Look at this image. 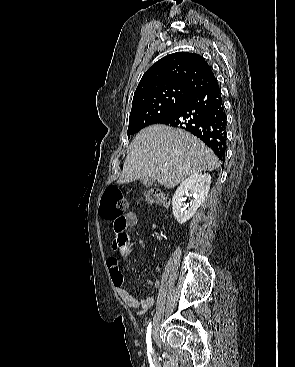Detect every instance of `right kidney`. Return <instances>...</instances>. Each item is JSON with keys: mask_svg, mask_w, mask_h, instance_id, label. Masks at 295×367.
<instances>
[{"mask_svg": "<svg viewBox=\"0 0 295 367\" xmlns=\"http://www.w3.org/2000/svg\"><path fill=\"white\" fill-rule=\"evenodd\" d=\"M211 184L210 174H193L183 181L177 188L173 199L172 209L173 215L179 224H184L191 219L197 209L204 202ZM190 194L193 199L190 201L189 208L184 210L186 205L183 203V196Z\"/></svg>", "mask_w": 295, "mask_h": 367, "instance_id": "right-kidney-1", "label": "right kidney"}]
</instances>
